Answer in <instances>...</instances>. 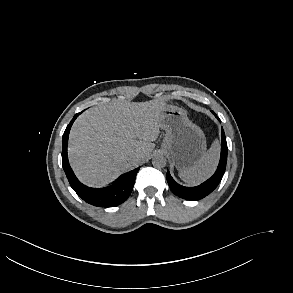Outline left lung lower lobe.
Listing matches in <instances>:
<instances>
[{
    "instance_id": "0a47b994",
    "label": "left lung lower lobe",
    "mask_w": 293,
    "mask_h": 293,
    "mask_svg": "<svg viewBox=\"0 0 293 293\" xmlns=\"http://www.w3.org/2000/svg\"><path fill=\"white\" fill-rule=\"evenodd\" d=\"M214 115L216 116V114ZM217 119L219 120L218 117ZM221 135H222V142H221L220 162L214 175L211 178H209L207 181H205L204 183L196 187H184L177 184L171 177L170 173L167 172L166 174L167 182L169 184L170 189L175 195L186 200H199L204 198L208 194H210L218 186L226 169L227 153H228L227 142H226L223 128H222Z\"/></svg>"
}]
</instances>
